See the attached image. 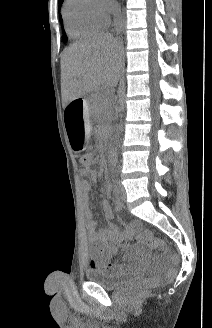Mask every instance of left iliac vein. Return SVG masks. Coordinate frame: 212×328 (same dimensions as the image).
Listing matches in <instances>:
<instances>
[{
  "mask_svg": "<svg viewBox=\"0 0 212 328\" xmlns=\"http://www.w3.org/2000/svg\"><path fill=\"white\" fill-rule=\"evenodd\" d=\"M119 189H120L121 197L125 201L126 200V192H125V189H124V187L121 183H119Z\"/></svg>",
  "mask_w": 212,
  "mask_h": 328,
  "instance_id": "left-iliac-vein-1",
  "label": "left iliac vein"
}]
</instances>
